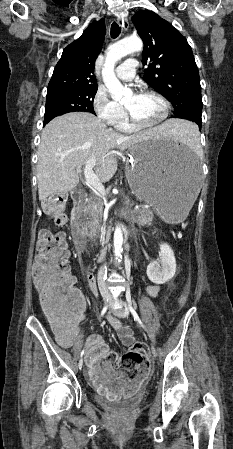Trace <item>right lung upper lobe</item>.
<instances>
[{"label": "right lung upper lobe", "mask_w": 233, "mask_h": 449, "mask_svg": "<svg viewBox=\"0 0 233 449\" xmlns=\"http://www.w3.org/2000/svg\"><path fill=\"white\" fill-rule=\"evenodd\" d=\"M105 33L104 20L95 21L63 50L47 94L59 90L98 88L93 71Z\"/></svg>", "instance_id": "1"}]
</instances>
